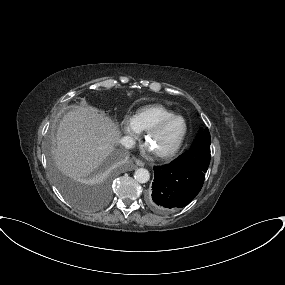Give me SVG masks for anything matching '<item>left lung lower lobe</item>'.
Segmentation results:
<instances>
[{
    "label": "left lung lower lobe",
    "mask_w": 285,
    "mask_h": 285,
    "mask_svg": "<svg viewBox=\"0 0 285 285\" xmlns=\"http://www.w3.org/2000/svg\"><path fill=\"white\" fill-rule=\"evenodd\" d=\"M205 172L186 165L174 164L154 167V182L148 196L152 209L168 213L185 207L200 192Z\"/></svg>",
    "instance_id": "1"
}]
</instances>
